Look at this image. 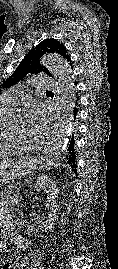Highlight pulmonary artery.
Wrapping results in <instances>:
<instances>
[{"label": "pulmonary artery", "instance_id": "pulmonary-artery-1", "mask_svg": "<svg viewBox=\"0 0 118 269\" xmlns=\"http://www.w3.org/2000/svg\"><path fill=\"white\" fill-rule=\"evenodd\" d=\"M30 83L38 90L52 89L56 85L54 80L43 75L34 77ZM22 88V85H18L0 95V107L13 111L22 97Z\"/></svg>", "mask_w": 118, "mask_h": 269}]
</instances>
